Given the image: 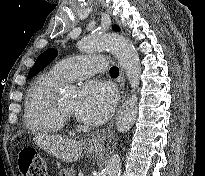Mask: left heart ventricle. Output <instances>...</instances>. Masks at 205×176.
I'll use <instances>...</instances> for the list:
<instances>
[{"label": "left heart ventricle", "mask_w": 205, "mask_h": 176, "mask_svg": "<svg viewBox=\"0 0 205 176\" xmlns=\"http://www.w3.org/2000/svg\"><path fill=\"white\" fill-rule=\"evenodd\" d=\"M59 104H61V106L68 110V111H74L75 107H76V98L72 97V98H68V99H62L60 101H58Z\"/></svg>", "instance_id": "left-heart-ventricle-1"}]
</instances>
